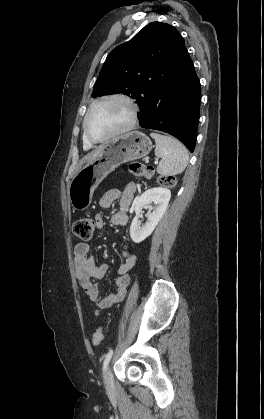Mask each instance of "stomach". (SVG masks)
Masks as SVG:
<instances>
[{
    "label": "stomach",
    "instance_id": "obj_1",
    "mask_svg": "<svg viewBox=\"0 0 264 419\" xmlns=\"http://www.w3.org/2000/svg\"><path fill=\"white\" fill-rule=\"evenodd\" d=\"M152 149L148 136L139 131L111 139L100 147L97 156L72 178L68 197L74 210H85L101 181L122 163L145 157Z\"/></svg>",
    "mask_w": 264,
    "mask_h": 419
}]
</instances>
